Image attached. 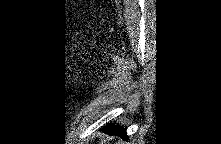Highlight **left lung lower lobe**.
<instances>
[{"label": "left lung lower lobe", "instance_id": "1", "mask_svg": "<svg viewBox=\"0 0 221 144\" xmlns=\"http://www.w3.org/2000/svg\"><path fill=\"white\" fill-rule=\"evenodd\" d=\"M104 130L107 133H109L110 135H119L123 139L128 140L126 130L124 128H121L120 126H110V125H108V126H106V128Z\"/></svg>", "mask_w": 221, "mask_h": 144}]
</instances>
